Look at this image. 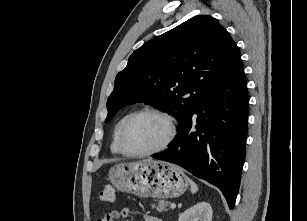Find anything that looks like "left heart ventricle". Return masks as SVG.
<instances>
[{"instance_id": "b2bd125f", "label": "left heart ventricle", "mask_w": 307, "mask_h": 221, "mask_svg": "<svg viewBox=\"0 0 307 221\" xmlns=\"http://www.w3.org/2000/svg\"><path fill=\"white\" fill-rule=\"evenodd\" d=\"M168 133L166 122L152 114L137 117L128 127L124 143L131 152H145L159 146Z\"/></svg>"}]
</instances>
